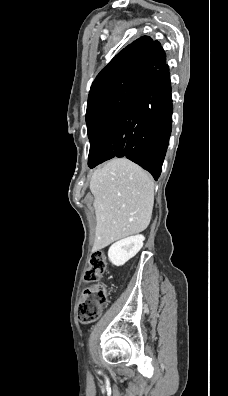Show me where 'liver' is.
I'll list each match as a JSON object with an SVG mask.
<instances>
[{
  "label": "liver",
  "mask_w": 228,
  "mask_h": 396,
  "mask_svg": "<svg viewBox=\"0 0 228 396\" xmlns=\"http://www.w3.org/2000/svg\"><path fill=\"white\" fill-rule=\"evenodd\" d=\"M96 215L93 251L144 231L154 204L152 177L126 158H114L90 181Z\"/></svg>",
  "instance_id": "liver-1"
}]
</instances>
